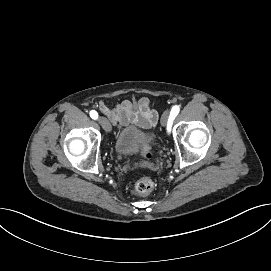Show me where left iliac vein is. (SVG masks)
Masks as SVG:
<instances>
[{
	"label": "left iliac vein",
	"instance_id": "1",
	"mask_svg": "<svg viewBox=\"0 0 271 271\" xmlns=\"http://www.w3.org/2000/svg\"><path fill=\"white\" fill-rule=\"evenodd\" d=\"M169 116H170V111L166 110L163 115H162V118H161V124L163 126H166L168 120H169Z\"/></svg>",
	"mask_w": 271,
	"mask_h": 271
}]
</instances>
